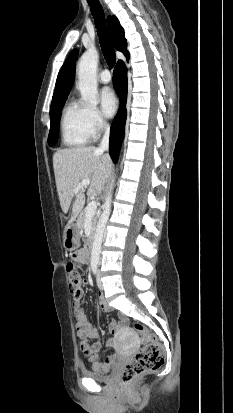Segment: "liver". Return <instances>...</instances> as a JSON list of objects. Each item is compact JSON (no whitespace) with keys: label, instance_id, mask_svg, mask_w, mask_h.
Returning <instances> with one entry per match:
<instances>
[{"label":"liver","instance_id":"6515ba94","mask_svg":"<svg viewBox=\"0 0 233 413\" xmlns=\"http://www.w3.org/2000/svg\"><path fill=\"white\" fill-rule=\"evenodd\" d=\"M53 168L60 206L66 214L71 202L72 216L65 228L72 224L85 203L84 188L75 193L74 189L82 180L89 179L87 196H98L110 175L112 162L94 146L61 149L53 155Z\"/></svg>","mask_w":233,"mask_h":413}]
</instances>
